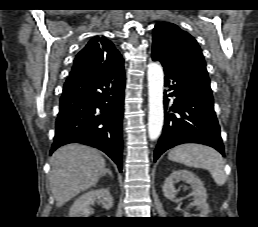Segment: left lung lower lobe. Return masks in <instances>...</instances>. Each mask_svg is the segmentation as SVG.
Wrapping results in <instances>:
<instances>
[{
    "mask_svg": "<svg viewBox=\"0 0 258 227\" xmlns=\"http://www.w3.org/2000/svg\"><path fill=\"white\" fill-rule=\"evenodd\" d=\"M159 61L164 67L165 86L172 93H164L165 122L162 135L154 151L156 161L166 150L183 143L211 146L225 155L220 127L213 105L210 81L186 73ZM169 96H174L169 104Z\"/></svg>",
    "mask_w": 258,
    "mask_h": 227,
    "instance_id": "0a47b994",
    "label": "left lung lower lobe"
}]
</instances>
